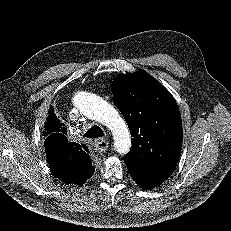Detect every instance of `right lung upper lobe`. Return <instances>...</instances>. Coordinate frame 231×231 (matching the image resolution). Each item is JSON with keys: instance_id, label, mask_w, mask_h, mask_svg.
<instances>
[{"instance_id": "1", "label": "right lung upper lobe", "mask_w": 231, "mask_h": 231, "mask_svg": "<svg viewBox=\"0 0 231 231\" xmlns=\"http://www.w3.org/2000/svg\"><path fill=\"white\" fill-rule=\"evenodd\" d=\"M67 129L54 113L49 110L45 125L44 143L47 160L54 177L64 183L83 184L94 173L88 153L75 142L66 138Z\"/></svg>"}]
</instances>
